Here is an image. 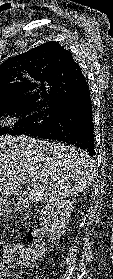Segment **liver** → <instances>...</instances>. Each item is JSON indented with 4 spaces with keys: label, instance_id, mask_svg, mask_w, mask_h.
Here are the masks:
<instances>
[{
    "label": "liver",
    "instance_id": "6515ba94",
    "mask_svg": "<svg viewBox=\"0 0 113 279\" xmlns=\"http://www.w3.org/2000/svg\"><path fill=\"white\" fill-rule=\"evenodd\" d=\"M94 160L83 150L21 136H0V194L25 185L30 200L55 203L89 188Z\"/></svg>",
    "mask_w": 113,
    "mask_h": 279
}]
</instances>
